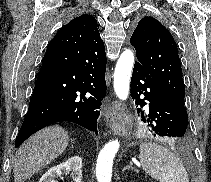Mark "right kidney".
<instances>
[{
    "label": "right kidney",
    "instance_id": "obj_1",
    "mask_svg": "<svg viewBox=\"0 0 211 182\" xmlns=\"http://www.w3.org/2000/svg\"><path fill=\"white\" fill-rule=\"evenodd\" d=\"M82 159L78 156L68 159L55 167L50 168L39 180V182H57L56 178L62 174H69L74 182L82 181Z\"/></svg>",
    "mask_w": 211,
    "mask_h": 182
}]
</instances>
